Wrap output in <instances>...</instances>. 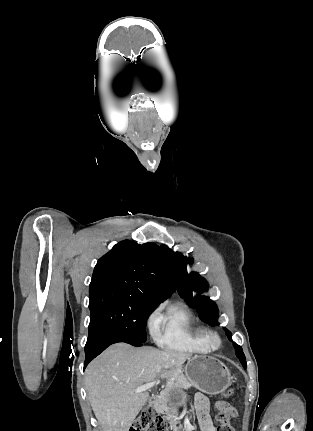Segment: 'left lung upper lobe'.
I'll return each mask as SVG.
<instances>
[{"mask_svg":"<svg viewBox=\"0 0 313 431\" xmlns=\"http://www.w3.org/2000/svg\"><path fill=\"white\" fill-rule=\"evenodd\" d=\"M161 249L177 284L179 295L189 303L191 307L198 308L200 317L208 322L209 325H219L217 322L219 311L216 304L208 297L200 295L196 297L192 296L193 290L200 293L206 291L208 288L207 282L202 279L197 272L187 273L186 267L189 260L182 254L172 251L166 245H161ZM224 329L227 337L232 341V333L226 328ZM233 346L241 364L246 368V359L242 347L236 343H234Z\"/></svg>","mask_w":313,"mask_h":431,"instance_id":"5c2ea615","label":"left lung upper lobe"}]
</instances>
